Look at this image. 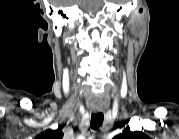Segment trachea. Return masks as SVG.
I'll use <instances>...</instances> for the list:
<instances>
[{"mask_svg":"<svg viewBox=\"0 0 179 139\" xmlns=\"http://www.w3.org/2000/svg\"><path fill=\"white\" fill-rule=\"evenodd\" d=\"M103 120H104L103 113L99 112V113H96V114H92V116H91V128L94 129V130L98 129L102 125Z\"/></svg>","mask_w":179,"mask_h":139,"instance_id":"trachea-1","label":"trachea"}]
</instances>
